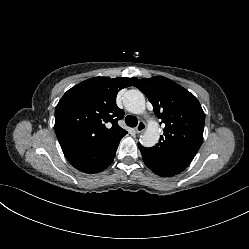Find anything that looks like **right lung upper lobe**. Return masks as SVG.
Segmentation results:
<instances>
[{
	"label": "right lung upper lobe",
	"instance_id": "obj_1",
	"mask_svg": "<svg viewBox=\"0 0 249 249\" xmlns=\"http://www.w3.org/2000/svg\"><path fill=\"white\" fill-rule=\"evenodd\" d=\"M136 78L94 77L69 89L55 109V132L62 150L95 148L127 134L118 124L124 111L116 96Z\"/></svg>",
	"mask_w": 249,
	"mask_h": 249
}]
</instances>
